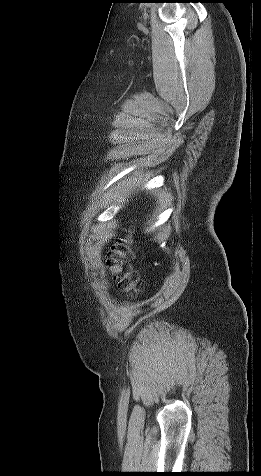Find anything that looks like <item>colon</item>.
Here are the masks:
<instances>
[{
    "label": "colon",
    "mask_w": 261,
    "mask_h": 476,
    "mask_svg": "<svg viewBox=\"0 0 261 476\" xmlns=\"http://www.w3.org/2000/svg\"><path fill=\"white\" fill-rule=\"evenodd\" d=\"M132 239L127 234L120 238L107 251L105 263L114 275L119 289L129 294H135L138 291V274L130 265L134 257V251L131 247Z\"/></svg>",
    "instance_id": "5ec220e1"
}]
</instances>
